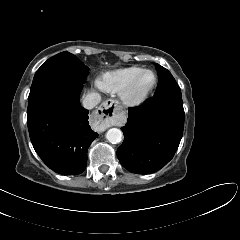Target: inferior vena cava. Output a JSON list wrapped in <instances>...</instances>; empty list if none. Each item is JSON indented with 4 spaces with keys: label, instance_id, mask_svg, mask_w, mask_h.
<instances>
[{
    "label": "inferior vena cava",
    "instance_id": "obj_1",
    "mask_svg": "<svg viewBox=\"0 0 240 240\" xmlns=\"http://www.w3.org/2000/svg\"><path fill=\"white\" fill-rule=\"evenodd\" d=\"M101 101V96L99 93H88L83 101H82V104H83V107L86 108V109H93L95 106H97Z\"/></svg>",
    "mask_w": 240,
    "mask_h": 240
}]
</instances>
